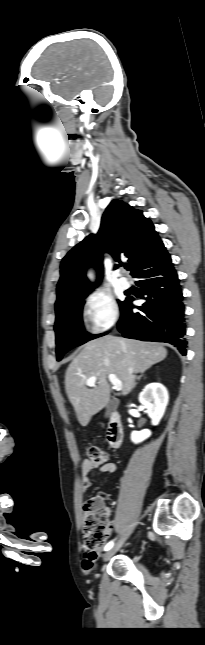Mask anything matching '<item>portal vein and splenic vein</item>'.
<instances>
[{"label":"portal vein and splenic vein","mask_w":205,"mask_h":645,"mask_svg":"<svg viewBox=\"0 0 205 645\" xmlns=\"http://www.w3.org/2000/svg\"><path fill=\"white\" fill-rule=\"evenodd\" d=\"M108 379L113 384V388L116 391L122 390V382L114 374H109ZM96 381H97V376H92L86 381V385L90 387L94 386Z\"/></svg>","instance_id":"portal-vein-and-splenic-vein-1"}]
</instances>
